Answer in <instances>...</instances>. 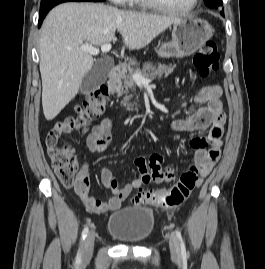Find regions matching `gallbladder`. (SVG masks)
I'll list each match as a JSON object with an SVG mask.
<instances>
[{
    "mask_svg": "<svg viewBox=\"0 0 265 269\" xmlns=\"http://www.w3.org/2000/svg\"><path fill=\"white\" fill-rule=\"evenodd\" d=\"M111 66L104 63V61H97L92 69L84 76L80 85V92L83 94H90L105 83L108 72Z\"/></svg>",
    "mask_w": 265,
    "mask_h": 269,
    "instance_id": "1",
    "label": "gallbladder"
}]
</instances>
